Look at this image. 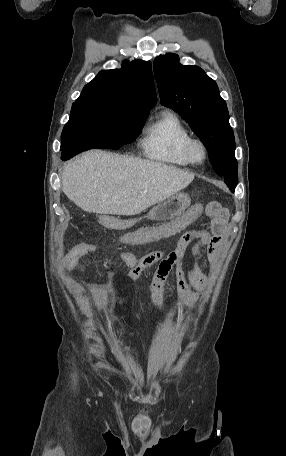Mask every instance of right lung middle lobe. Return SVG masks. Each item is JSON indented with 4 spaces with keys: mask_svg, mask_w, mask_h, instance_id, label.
<instances>
[{
    "mask_svg": "<svg viewBox=\"0 0 286 456\" xmlns=\"http://www.w3.org/2000/svg\"><path fill=\"white\" fill-rule=\"evenodd\" d=\"M148 114L106 106L73 103L70 119L61 135V159L92 148L118 149L135 141Z\"/></svg>",
    "mask_w": 286,
    "mask_h": 456,
    "instance_id": "obj_1",
    "label": "right lung middle lobe"
}]
</instances>
